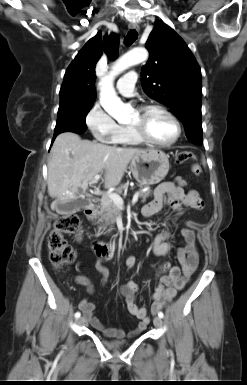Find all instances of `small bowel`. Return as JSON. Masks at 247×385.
I'll return each mask as SVG.
<instances>
[{
    "mask_svg": "<svg viewBox=\"0 0 247 385\" xmlns=\"http://www.w3.org/2000/svg\"><path fill=\"white\" fill-rule=\"evenodd\" d=\"M185 185L186 181L180 177L174 182L160 184L156 188L154 200L143 207V214L145 216L154 215L166 206L176 210L178 214H180L184 207L201 210L204 207L203 199L196 190L185 192L183 190ZM195 226L196 223L194 221H188L186 227L181 231L185 243L176 251V257L180 263V267L165 266L168 272L160 277L159 283L155 287L152 295L153 304L151 310L153 313L161 310L166 301L171 300L177 291L182 290L197 270L199 265V252L196 245ZM169 236V232L163 230L154 237L152 250L156 255L163 256L171 251L173 244L167 241ZM108 256L109 255H99L96 263V269L102 276L101 285L103 286L107 283L109 276L108 269L103 265V262L108 259ZM125 266L128 269H133L136 266V258L133 256L128 257L125 260ZM77 281L86 286L89 292L93 291V286L86 277H78ZM135 292L136 285L132 282L125 283L120 287V293L124 298L128 312L139 320L137 327L129 334L130 336L140 334L147 328L150 322L147 308L136 304ZM79 308L83 313L85 321L105 336L111 338H124L126 336V333L122 329L109 328L101 323L94 314L95 304L92 301L88 299L82 300Z\"/></svg>",
    "mask_w": 247,
    "mask_h": 385,
    "instance_id": "small-bowel-1",
    "label": "small bowel"
}]
</instances>
